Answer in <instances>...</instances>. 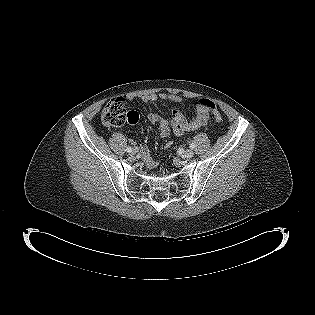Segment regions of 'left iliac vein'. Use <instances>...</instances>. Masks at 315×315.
<instances>
[{"mask_svg": "<svg viewBox=\"0 0 315 315\" xmlns=\"http://www.w3.org/2000/svg\"><path fill=\"white\" fill-rule=\"evenodd\" d=\"M193 155H194V152L190 149H187L181 154V157L183 159H190L193 157Z\"/></svg>", "mask_w": 315, "mask_h": 315, "instance_id": "left-iliac-vein-1", "label": "left iliac vein"}]
</instances>
